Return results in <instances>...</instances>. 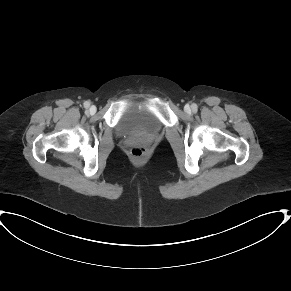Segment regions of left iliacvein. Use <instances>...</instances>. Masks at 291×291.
I'll list each match as a JSON object with an SVG mask.
<instances>
[{"instance_id":"left-iliac-vein-1","label":"left iliac vein","mask_w":291,"mask_h":291,"mask_svg":"<svg viewBox=\"0 0 291 291\" xmlns=\"http://www.w3.org/2000/svg\"><path fill=\"white\" fill-rule=\"evenodd\" d=\"M185 110H186V111H189V110H190V107H189L188 105H186V106H185Z\"/></svg>"}]
</instances>
